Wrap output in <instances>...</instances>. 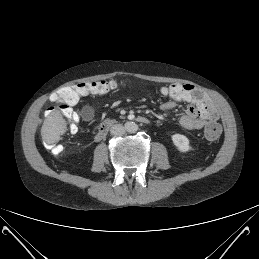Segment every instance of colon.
<instances>
[{"instance_id":"colon-1","label":"colon","mask_w":259,"mask_h":259,"mask_svg":"<svg viewBox=\"0 0 259 259\" xmlns=\"http://www.w3.org/2000/svg\"><path fill=\"white\" fill-rule=\"evenodd\" d=\"M121 83L115 80H95L77 84L72 87H64L58 90L53 96L52 100L61 104L60 110L70 125L71 130H74L78 121L77 114L71 108L77 103L81 96L92 94H106L112 90L121 87ZM161 93L167 97H178L182 102H187L190 99L194 101L203 100L207 93L199 86L190 84H171L161 88ZM221 135V127L216 122H209L204 129V136L208 141H216ZM52 152L60 153L62 148L60 146H52Z\"/></svg>"}]
</instances>
